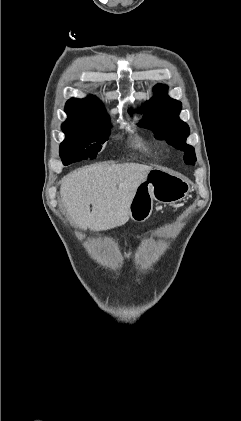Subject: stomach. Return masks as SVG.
I'll return each instance as SVG.
<instances>
[{
  "label": "stomach",
  "mask_w": 241,
  "mask_h": 421,
  "mask_svg": "<svg viewBox=\"0 0 241 421\" xmlns=\"http://www.w3.org/2000/svg\"><path fill=\"white\" fill-rule=\"evenodd\" d=\"M190 183L184 177L163 168H154L138 185L129 206V217L144 222L152 214L153 201L175 204L186 198Z\"/></svg>",
  "instance_id": "1"
}]
</instances>
